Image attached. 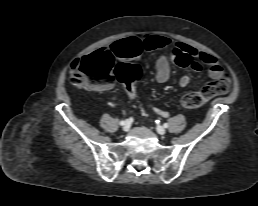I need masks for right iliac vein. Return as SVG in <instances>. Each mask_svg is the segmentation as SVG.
I'll return each mask as SVG.
<instances>
[{
	"label": "right iliac vein",
	"instance_id": "63e3f726",
	"mask_svg": "<svg viewBox=\"0 0 258 206\" xmlns=\"http://www.w3.org/2000/svg\"><path fill=\"white\" fill-rule=\"evenodd\" d=\"M130 126H131L130 121L126 120L125 123L122 125V129L124 131H128L130 129Z\"/></svg>",
	"mask_w": 258,
	"mask_h": 206
}]
</instances>
